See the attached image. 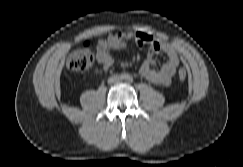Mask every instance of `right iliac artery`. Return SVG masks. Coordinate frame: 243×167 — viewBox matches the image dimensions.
<instances>
[{
  "instance_id": "obj_1",
  "label": "right iliac artery",
  "mask_w": 243,
  "mask_h": 167,
  "mask_svg": "<svg viewBox=\"0 0 243 167\" xmlns=\"http://www.w3.org/2000/svg\"><path fill=\"white\" fill-rule=\"evenodd\" d=\"M122 78H126V75H125V74H123V75H122Z\"/></svg>"
}]
</instances>
